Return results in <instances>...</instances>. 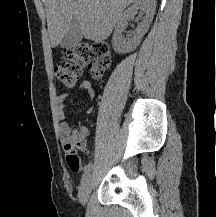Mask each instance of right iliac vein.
<instances>
[{"label":"right iliac vein","instance_id":"1","mask_svg":"<svg viewBox=\"0 0 216 217\" xmlns=\"http://www.w3.org/2000/svg\"><path fill=\"white\" fill-rule=\"evenodd\" d=\"M91 175H88L87 178L82 182V185L79 190V199L83 206L86 205L89 193L91 191Z\"/></svg>","mask_w":216,"mask_h":217}]
</instances>
